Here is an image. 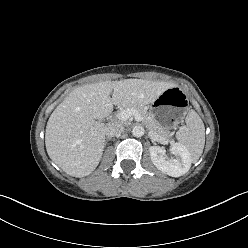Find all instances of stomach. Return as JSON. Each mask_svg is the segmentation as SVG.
I'll return each mask as SVG.
<instances>
[{
	"instance_id": "1",
	"label": "stomach",
	"mask_w": 248,
	"mask_h": 248,
	"mask_svg": "<svg viewBox=\"0 0 248 248\" xmlns=\"http://www.w3.org/2000/svg\"><path fill=\"white\" fill-rule=\"evenodd\" d=\"M188 111V99L178 86L165 90L150 105L149 115L165 129L177 127Z\"/></svg>"
}]
</instances>
